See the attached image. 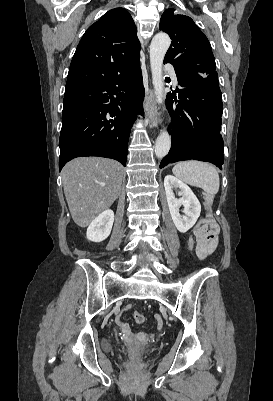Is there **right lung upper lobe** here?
Returning a JSON list of instances; mask_svg holds the SVG:
<instances>
[{
    "label": "right lung upper lobe",
    "mask_w": 273,
    "mask_h": 401,
    "mask_svg": "<svg viewBox=\"0 0 273 401\" xmlns=\"http://www.w3.org/2000/svg\"><path fill=\"white\" fill-rule=\"evenodd\" d=\"M131 15L115 8L91 25L72 58L64 97L100 85L139 60L140 43Z\"/></svg>",
    "instance_id": "cb5924a9"
}]
</instances>
